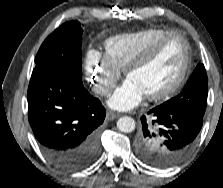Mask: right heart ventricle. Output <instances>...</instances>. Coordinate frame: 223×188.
I'll return each instance as SVG.
<instances>
[{
	"label": "right heart ventricle",
	"instance_id": "1",
	"mask_svg": "<svg viewBox=\"0 0 223 188\" xmlns=\"http://www.w3.org/2000/svg\"><path fill=\"white\" fill-rule=\"evenodd\" d=\"M168 31L150 27L112 36L104 43L105 54L118 68H125L142 49Z\"/></svg>",
	"mask_w": 223,
	"mask_h": 188
}]
</instances>
